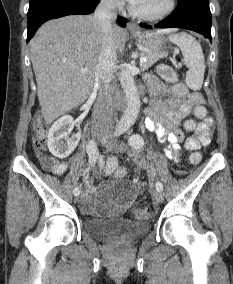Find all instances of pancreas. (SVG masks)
<instances>
[{
	"label": "pancreas",
	"mask_w": 233,
	"mask_h": 284,
	"mask_svg": "<svg viewBox=\"0 0 233 284\" xmlns=\"http://www.w3.org/2000/svg\"><path fill=\"white\" fill-rule=\"evenodd\" d=\"M168 55L165 51H148L145 53L147 61L145 63H140V67L143 71L149 69L154 63L159 59L164 58Z\"/></svg>",
	"instance_id": "cf45deb5"
}]
</instances>
